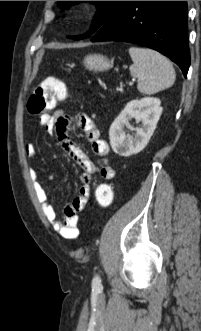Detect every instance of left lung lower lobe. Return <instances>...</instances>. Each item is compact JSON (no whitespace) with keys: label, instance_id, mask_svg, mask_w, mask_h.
I'll list each match as a JSON object with an SVG mask.
<instances>
[{"label":"left lung lower lobe","instance_id":"left-lung-lower-lobe-1","mask_svg":"<svg viewBox=\"0 0 201 331\" xmlns=\"http://www.w3.org/2000/svg\"><path fill=\"white\" fill-rule=\"evenodd\" d=\"M187 28V1H120L91 41L152 48L175 62L186 77L190 66Z\"/></svg>","mask_w":201,"mask_h":331}]
</instances>
